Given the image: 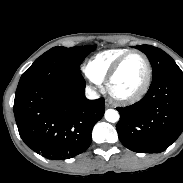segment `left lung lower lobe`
Instances as JSON below:
<instances>
[{
	"mask_svg": "<svg viewBox=\"0 0 183 183\" xmlns=\"http://www.w3.org/2000/svg\"><path fill=\"white\" fill-rule=\"evenodd\" d=\"M117 110L120 120L116 129L126 148L163 152L183 131V72L173 71L152 80L140 101Z\"/></svg>",
	"mask_w": 183,
	"mask_h": 183,
	"instance_id": "obj_1",
	"label": "left lung lower lobe"
}]
</instances>
